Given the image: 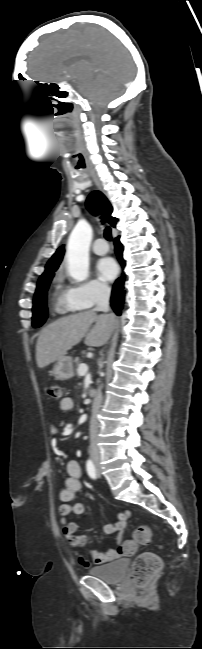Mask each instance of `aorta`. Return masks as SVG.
<instances>
[{"label": "aorta", "instance_id": "aorta-1", "mask_svg": "<svg viewBox=\"0 0 202 649\" xmlns=\"http://www.w3.org/2000/svg\"><path fill=\"white\" fill-rule=\"evenodd\" d=\"M92 228L86 221H79L73 229L67 244V269L76 281H84L89 276V247Z\"/></svg>", "mask_w": 202, "mask_h": 649}]
</instances>
